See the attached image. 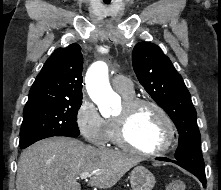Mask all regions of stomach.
Segmentation results:
<instances>
[{"label": "stomach", "mask_w": 221, "mask_h": 190, "mask_svg": "<svg viewBox=\"0 0 221 190\" xmlns=\"http://www.w3.org/2000/svg\"><path fill=\"white\" fill-rule=\"evenodd\" d=\"M133 190H152L156 181L154 175L145 167H135L129 175Z\"/></svg>", "instance_id": "stomach-1"}]
</instances>
